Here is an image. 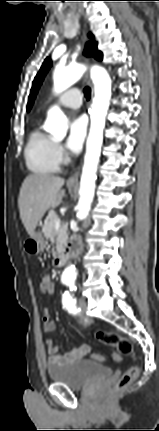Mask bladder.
Masks as SVG:
<instances>
[{
  "mask_svg": "<svg viewBox=\"0 0 159 431\" xmlns=\"http://www.w3.org/2000/svg\"><path fill=\"white\" fill-rule=\"evenodd\" d=\"M111 369L89 359H79L63 365H48L47 376L53 383L71 389H81L111 375Z\"/></svg>",
  "mask_w": 159,
  "mask_h": 431,
  "instance_id": "31cf9c89",
  "label": "bladder"
}]
</instances>
